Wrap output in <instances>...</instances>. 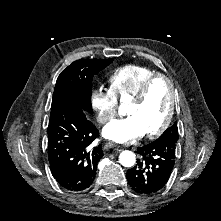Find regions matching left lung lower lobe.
Listing matches in <instances>:
<instances>
[{"label": "left lung lower lobe", "mask_w": 221, "mask_h": 221, "mask_svg": "<svg viewBox=\"0 0 221 221\" xmlns=\"http://www.w3.org/2000/svg\"><path fill=\"white\" fill-rule=\"evenodd\" d=\"M177 141L159 137L139 147L137 164L127 171L130 187L139 194H154L168 182L175 163Z\"/></svg>", "instance_id": "1"}]
</instances>
